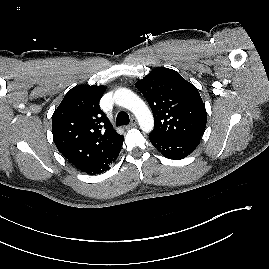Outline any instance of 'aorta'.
Listing matches in <instances>:
<instances>
[{
  "mask_svg": "<svg viewBox=\"0 0 269 269\" xmlns=\"http://www.w3.org/2000/svg\"><path fill=\"white\" fill-rule=\"evenodd\" d=\"M115 103L130 110L137 118L140 128L144 132H150L154 126L151 111L146 103L129 89L121 88L114 93Z\"/></svg>",
  "mask_w": 269,
  "mask_h": 269,
  "instance_id": "762f6f07",
  "label": "aorta"
}]
</instances>
